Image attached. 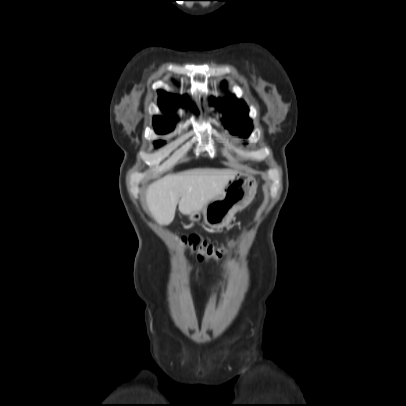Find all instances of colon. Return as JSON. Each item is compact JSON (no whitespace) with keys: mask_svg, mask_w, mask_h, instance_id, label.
<instances>
[{"mask_svg":"<svg viewBox=\"0 0 406 406\" xmlns=\"http://www.w3.org/2000/svg\"><path fill=\"white\" fill-rule=\"evenodd\" d=\"M180 241L199 261H219L223 257V247L208 243L197 235L182 236Z\"/></svg>","mask_w":406,"mask_h":406,"instance_id":"obj_1","label":"colon"}]
</instances>
